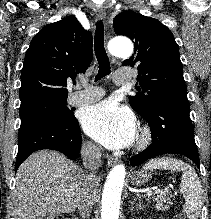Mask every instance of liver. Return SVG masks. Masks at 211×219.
I'll return each instance as SVG.
<instances>
[{"instance_id":"6515ba94","label":"liver","mask_w":211,"mask_h":219,"mask_svg":"<svg viewBox=\"0 0 211 219\" xmlns=\"http://www.w3.org/2000/svg\"><path fill=\"white\" fill-rule=\"evenodd\" d=\"M84 186L85 173L73 161L52 150L35 152L20 165L16 174L14 219L71 213ZM93 195L95 200L97 187Z\"/></svg>"}]
</instances>
